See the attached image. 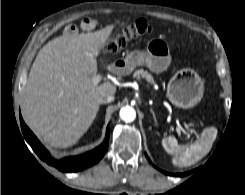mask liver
<instances>
[{
    "instance_id": "6515ba94",
    "label": "liver",
    "mask_w": 245,
    "mask_h": 195,
    "mask_svg": "<svg viewBox=\"0 0 245 195\" xmlns=\"http://www.w3.org/2000/svg\"><path fill=\"white\" fill-rule=\"evenodd\" d=\"M114 26L75 37L61 36L39 51L22 94V115L47 145H74L89 129L98 111V97L114 95L110 82L94 85L96 57Z\"/></svg>"
}]
</instances>
